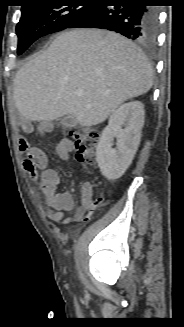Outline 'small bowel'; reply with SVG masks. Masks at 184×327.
<instances>
[{
	"label": "small bowel",
	"mask_w": 184,
	"mask_h": 327,
	"mask_svg": "<svg viewBox=\"0 0 184 327\" xmlns=\"http://www.w3.org/2000/svg\"><path fill=\"white\" fill-rule=\"evenodd\" d=\"M30 125H24V130H29ZM51 130V124L41 123L37 128L39 137H45ZM73 150V144L68 139L61 141L56 148L57 154L63 160H68ZM27 157L23 160L22 166L32 180H38L40 190L45 198L46 212L48 217L55 222L69 223L71 219L65 217V212L74 209V199L69 192H57L59 184V174L57 171L48 167V159L43 150L36 147H29L25 151ZM41 170V174L38 170ZM103 203L102 198L93 200L89 194H83L81 199L82 213L76 216L77 220L88 218L92 212Z\"/></svg>",
	"instance_id": "small-bowel-1"
}]
</instances>
